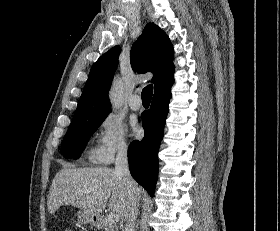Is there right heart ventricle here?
Segmentation results:
<instances>
[{
  "mask_svg": "<svg viewBox=\"0 0 280 231\" xmlns=\"http://www.w3.org/2000/svg\"><path fill=\"white\" fill-rule=\"evenodd\" d=\"M90 156H91V158H93V157H94L93 152H91V153H90Z\"/></svg>",
  "mask_w": 280,
  "mask_h": 231,
  "instance_id": "e07e8e85",
  "label": "right heart ventricle"
}]
</instances>
